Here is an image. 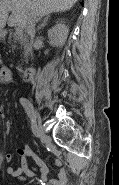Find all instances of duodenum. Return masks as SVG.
Wrapping results in <instances>:
<instances>
[{
	"label": "duodenum",
	"mask_w": 119,
	"mask_h": 185,
	"mask_svg": "<svg viewBox=\"0 0 119 185\" xmlns=\"http://www.w3.org/2000/svg\"><path fill=\"white\" fill-rule=\"evenodd\" d=\"M35 73H36V68H34V67L25 68V69L22 71V78H23L25 81H29V80H31V79L34 78Z\"/></svg>",
	"instance_id": "obj_1"
}]
</instances>
